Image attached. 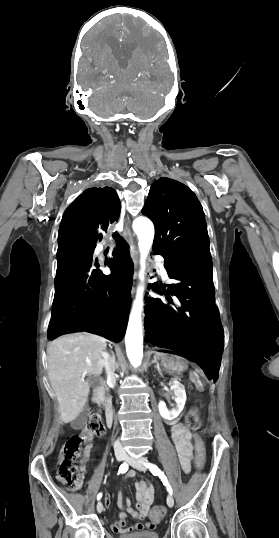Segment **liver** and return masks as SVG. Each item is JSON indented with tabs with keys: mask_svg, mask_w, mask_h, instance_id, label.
<instances>
[{
	"mask_svg": "<svg viewBox=\"0 0 279 538\" xmlns=\"http://www.w3.org/2000/svg\"><path fill=\"white\" fill-rule=\"evenodd\" d=\"M106 342L100 336L80 332L61 336L48 346V376L65 424L83 412L90 390L84 376L102 374Z\"/></svg>",
	"mask_w": 279,
	"mask_h": 538,
	"instance_id": "1",
	"label": "liver"
}]
</instances>
